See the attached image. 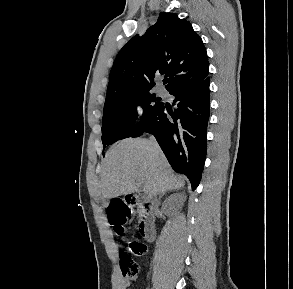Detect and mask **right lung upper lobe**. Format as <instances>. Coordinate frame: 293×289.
Segmentation results:
<instances>
[{
	"mask_svg": "<svg viewBox=\"0 0 293 289\" xmlns=\"http://www.w3.org/2000/svg\"><path fill=\"white\" fill-rule=\"evenodd\" d=\"M209 62L202 39L175 13H160L146 33L133 37L118 53L110 71L105 103L147 93L156 75L168 77L166 89L204 80Z\"/></svg>",
	"mask_w": 293,
	"mask_h": 289,
	"instance_id": "right-lung-upper-lobe-1",
	"label": "right lung upper lobe"
}]
</instances>
